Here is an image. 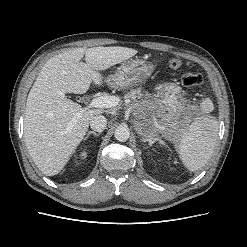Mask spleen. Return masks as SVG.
<instances>
[{
  "mask_svg": "<svg viewBox=\"0 0 247 247\" xmlns=\"http://www.w3.org/2000/svg\"><path fill=\"white\" fill-rule=\"evenodd\" d=\"M204 115L195 119L181 137L177 150L184 166L197 171L209 161L218 138V121L210 112L214 105L207 98L201 103Z\"/></svg>",
  "mask_w": 247,
  "mask_h": 247,
  "instance_id": "obj_1",
  "label": "spleen"
}]
</instances>
